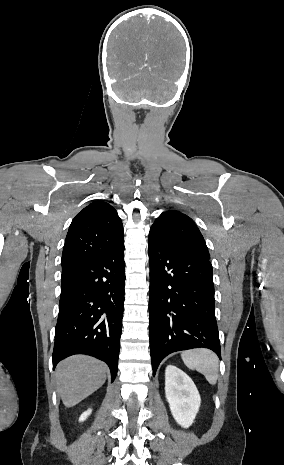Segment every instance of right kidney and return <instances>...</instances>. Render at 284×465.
Listing matches in <instances>:
<instances>
[{"instance_id":"ca27d5eb","label":"right kidney","mask_w":284,"mask_h":465,"mask_svg":"<svg viewBox=\"0 0 284 465\" xmlns=\"http://www.w3.org/2000/svg\"><path fill=\"white\" fill-rule=\"evenodd\" d=\"M92 409H88V411H85V413H82L81 417H79V421H86L87 417L91 415Z\"/></svg>"}]
</instances>
